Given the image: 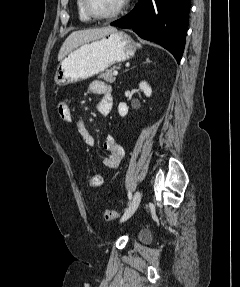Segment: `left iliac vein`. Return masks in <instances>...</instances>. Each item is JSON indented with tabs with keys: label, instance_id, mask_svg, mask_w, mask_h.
<instances>
[{
	"label": "left iliac vein",
	"instance_id": "4c4485c4",
	"mask_svg": "<svg viewBox=\"0 0 240 287\" xmlns=\"http://www.w3.org/2000/svg\"><path fill=\"white\" fill-rule=\"evenodd\" d=\"M140 201H141V192L138 190L135 192L129 207L124 212V214L121 218L122 222L129 219L135 213L136 209L138 208V206L140 204Z\"/></svg>",
	"mask_w": 240,
	"mask_h": 287
}]
</instances>
